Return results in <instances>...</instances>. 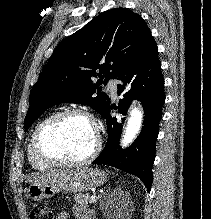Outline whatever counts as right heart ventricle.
<instances>
[{"instance_id": "right-heart-ventricle-1", "label": "right heart ventricle", "mask_w": 211, "mask_h": 219, "mask_svg": "<svg viewBox=\"0 0 211 219\" xmlns=\"http://www.w3.org/2000/svg\"><path fill=\"white\" fill-rule=\"evenodd\" d=\"M45 119H42L34 128L33 132H32V135L30 137V140H29V143H28V146H27V153H28V161L30 163V165L36 169V170H39V171H46L48 170L51 166H48L46 164H44L43 162H41L40 160H38L36 158V156L34 155L33 151H32V139H33V136L38 128V126L44 121Z\"/></svg>"}]
</instances>
